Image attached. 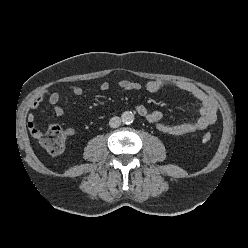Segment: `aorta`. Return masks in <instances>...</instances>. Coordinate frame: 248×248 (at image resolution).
Returning <instances> with one entry per match:
<instances>
[{
    "label": "aorta",
    "mask_w": 248,
    "mask_h": 248,
    "mask_svg": "<svg viewBox=\"0 0 248 248\" xmlns=\"http://www.w3.org/2000/svg\"><path fill=\"white\" fill-rule=\"evenodd\" d=\"M121 119L125 124H130L134 121V114L131 111H125L122 113Z\"/></svg>",
    "instance_id": "1"
}]
</instances>
